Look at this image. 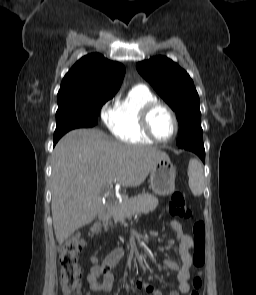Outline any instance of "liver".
Segmentation results:
<instances>
[{"label":"liver","instance_id":"6515ba94","mask_svg":"<svg viewBox=\"0 0 256 295\" xmlns=\"http://www.w3.org/2000/svg\"><path fill=\"white\" fill-rule=\"evenodd\" d=\"M164 157L155 147L122 144L98 129L63 136L52 156L51 209L59 245L96 218L100 194L110 182L139 186Z\"/></svg>","mask_w":256,"mask_h":295}]
</instances>
